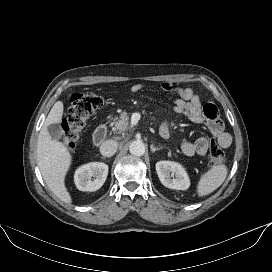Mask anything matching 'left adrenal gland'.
<instances>
[{"instance_id":"a2214340","label":"left adrenal gland","mask_w":272,"mask_h":272,"mask_svg":"<svg viewBox=\"0 0 272 272\" xmlns=\"http://www.w3.org/2000/svg\"><path fill=\"white\" fill-rule=\"evenodd\" d=\"M150 149H151L152 153H154L155 151L161 150L162 147H154V145H151Z\"/></svg>"}]
</instances>
